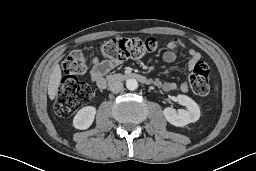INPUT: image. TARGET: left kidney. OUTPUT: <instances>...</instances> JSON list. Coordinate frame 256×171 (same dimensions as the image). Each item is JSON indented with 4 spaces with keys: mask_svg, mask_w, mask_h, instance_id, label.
<instances>
[{
    "mask_svg": "<svg viewBox=\"0 0 256 171\" xmlns=\"http://www.w3.org/2000/svg\"><path fill=\"white\" fill-rule=\"evenodd\" d=\"M175 101L185 106L187 110L179 109L176 111L174 108H165L163 114L170 124L177 127H184L189 123L196 122L200 118L199 106L190 97L179 94L175 97Z\"/></svg>",
    "mask_w": 256,
    "mask_h": 171,
    "instance_id": "obj_1",
    "label": "left kidney"
}]
</instances>
